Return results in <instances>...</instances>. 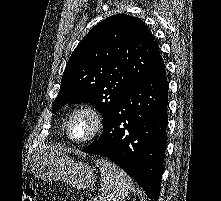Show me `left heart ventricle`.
Listing matches in <instances>:
<instances>
[{"label": "left heart ventricle", "instance_id": "1", "mask_svg": "<svg viewBox=\"0 0 221 201\" xmlns=\"http://www.w3.org/2000/svg\"><path fill=\"white\" fill-rule=\"evenodd\" d=\"M91 128V120L87 116L79 115L72 121L71 133L76 138H83L89 134Z\"/></svg>", "mask_w": 221, "mask_h": 201}]
</instances>
